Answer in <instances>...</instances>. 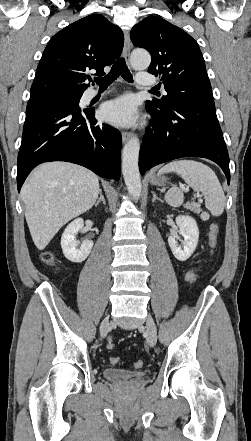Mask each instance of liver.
Returning a JSON list of instances; mask_svg holds the SVG:
<instances>
[{
  "mask_svg": "<svg viewBox=\"0 0 251 441\" xmlns=\"http://www.w3.org/2000/svg\"><path fill=\"white\" fill-rule=\"evenodd\" d=\"M99 191L97 175L79 165L50 162L34 169L21 198L35 246L43 250L63 225L91 209Z\"/></svg>",
  "mask_w": 251,
  "mask_h": 441,
  "instance_id": "6515ba94",
  "label": "liver"
}]
</instances>
